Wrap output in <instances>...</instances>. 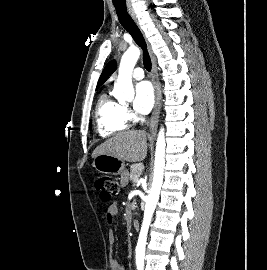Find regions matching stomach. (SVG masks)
Wrapping results in <instances>:
<instances>
[{"label": "stomach", "mask_w": 267, "mask_h": 270, "mask_svg": "<svg viewBox=\"0 0 267 270\" xmlns=\"http://www.w3.org/2000/svg\"><path fill=\"white\" fill-rule=\"evenodd\" d=\"M92 165L99 173L113 175L122 174L125 169V163L123 160L108 154L96 156Z\"/></svg>", "instance_id": "obj_1"}]
</instances>
